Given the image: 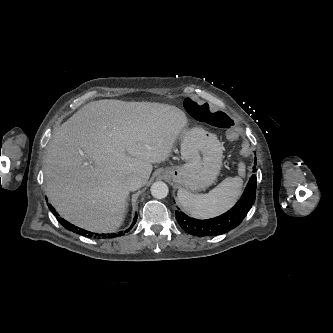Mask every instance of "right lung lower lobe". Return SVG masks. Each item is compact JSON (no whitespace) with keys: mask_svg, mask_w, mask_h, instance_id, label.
<instances>
[{"mask_svg":"<svg viewBox=\"0 0 333 333\" xmlns=\"http://www.w3.org/2000/svg\"><path fill=\"white\" fill-rule=\"evenodd\" d=\"M49 209H50V211H51L54 215L58 216V213H56V210H55L50 204H49ZM57 220H58V221L62 224V226H64L67 230H69V231H73V232H75V233H77V234H80V235H83V236H86V237H93V238H98V239H99V238H104V239H106V238H114V237L122 236V235H124V233H125V232H123V231H121V232H119V233H117V234H115V233H111V234H104V233H102V234H98V233H92V232H89V231H87V230H84V229H80V228H78L77 226H75V225H73V224L67 222V221L64 220L63 218H59V217H57ZM136 220H137V215H136L135 218H134V222H133L132 226L135 224ZM132 226H131L128 230H126V231H129V230L132 228Z\"/></svg>","mask_w":333,"mask_h":333,"instance_id":"98d812e1","label":"right lung lower lobe"}]
</instances>
